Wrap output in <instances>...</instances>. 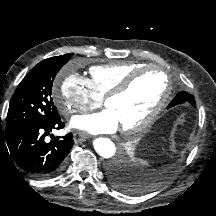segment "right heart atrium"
<instances>
[{
	"label": "right heart atrium",
	"instance_id": "right-heart-atrium-1",
	"mask_svg": "<svg viewBox=\"0 0 216 216\" xmlns=\"http://www.w3.org/2000/svg\"><path fill=\"white\" fill-rule=\"evenodd\" d=\"M53 101L63 116L91 110L102 103L87 78L76 73L65 76L53 92Z\"/></svg>",
	"mask_w": 216,
	"mask_h": 216
}]
</instances>
